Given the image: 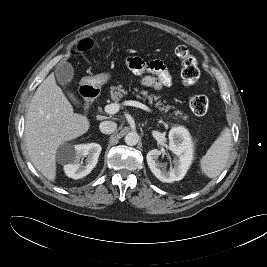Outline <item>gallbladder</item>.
<instances>
[{"instance_id": "bac80fb5", "label": "gallbladder", "mask_w": 267, "mask_h": 267, "mask_svg": "<svg viewBox=\"0 0 267 267\" xmlns=\"http://www.w3.org/2000/svg\"><path fill=\"white\" fill-rule=\"evenodd\" d=\"M55 75H56V80H57L58 84L60 86H62L64 89H66L74 77L73 66L70 63L65 62V61L60 62L56 66ZM65 92H66V95L68 96V98L71 100V102L75 106L79 107L81 105V101L79 100V98L77 97V95L74 92H72L70 90H66Z\"/></svg>"}]
</instances>
